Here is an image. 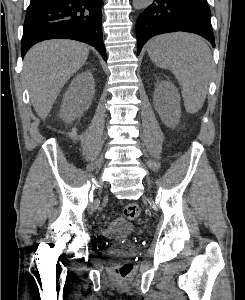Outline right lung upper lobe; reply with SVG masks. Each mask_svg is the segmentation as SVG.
<instances>
[{
    "mask_svg": "<svg viewBox=\"0 0 245 300\" xmlns=\"http://www.w3.org/2000/svg\"><path fill=\"white\" fill-rule=\"evenodd\" d=\"M33 1H37V0H30V2H33Z\"/></svg>",
    "mask_w": 245,
    "mask_h": 300,
    "instance_id": "obj_1",
    "label": "right lung upper lobe"
}]
</instances>
